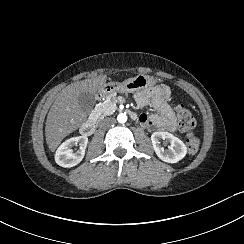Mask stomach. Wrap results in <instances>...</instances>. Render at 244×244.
I'll list each match as a JSON object with an SVG mask.
<instances>
[{
    "label": "stomach",
    "mask_w": 244,
    "mask_h": 244,
    "mask_svg": "<svg viewBox=\"0 0 244 244\" xmlns=\"http://www.w3.org/2000/svg\"><path fill=\"white\" fill-rule=\"evenodd\" d=\"M143 83V84H141ZM155 79L154 78H147L146 76H137L134 78H130L125 80L122 83L119 82H108L104 83L100 89L99 93L102 95H111L116 92H134L145 85H154Z\"/></svg>",
    "instance_id": "1"
}]
</instances>
